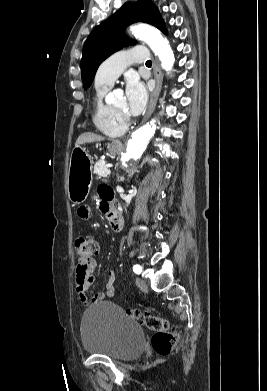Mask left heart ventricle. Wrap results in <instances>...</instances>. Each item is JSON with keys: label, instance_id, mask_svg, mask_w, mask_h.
Wrapping results in <instances>:
<instances>
[{"label": "left heart ventricle", "instance_id": "obj_1", "mask_svg": "<svg viewBox=\"0 0 267 391\" xmlns=\"http://www.w3.org/2000/svg\"><path fill=\"white\" fill-rule=\"evenodd\" d=\"M114 108L126 113V98L124 96H120L112 105Z\"/></svg>", "mask_w": 267, "mask_h": 391}]
</instances>
